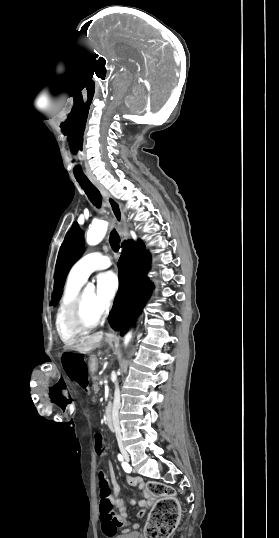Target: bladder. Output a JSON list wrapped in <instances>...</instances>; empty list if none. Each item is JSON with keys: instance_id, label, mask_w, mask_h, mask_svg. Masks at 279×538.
<instances>
[{"instance_id": "31cf9c89", "label": "bladder", "mask_w": 279, "mask_h": 538, "mask_svg": "<svg viewBox=\"0 0 279 538\" xmlns=\"http://www.w3.org/2000/svg\"><path fill=\"white\" fill-rule=\"evenodd\" d=\"M116 538H138L137 532H118Z\"/></svg>"}]
</instances>
